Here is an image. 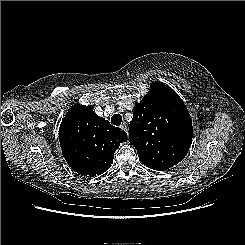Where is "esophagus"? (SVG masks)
Returning a JSON list of instances; mask_svg holds the SVG:
<instances>
[{"instance_id":"esophagus-1","label":"esophagus","mask_w":245,"mask_h":245,"mask_svg":"<svg viewBox=\"0 0 245 245\" xmlns=\"http://www.w3.org/2000/svg\"><path fill=\"white\" fill-rule=\"evenodd\" d=\"M120 128H121L122 130H124L125 132H128V128H127V125H126L125 123L121 124V125H120Z\"/></svg>"}]
</instances>
